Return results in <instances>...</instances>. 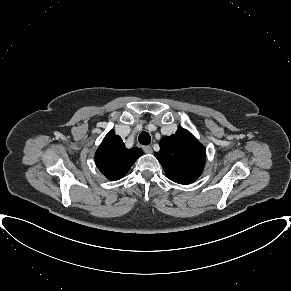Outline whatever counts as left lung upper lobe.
<instances>
[{
	"label": "left lung upper lobe",
	"instance_id": "left-lung-upper-lobe-1",
	"mask_svg": "<svg viewBox=\"0 0 291 291\" xmlns=\"http://www.w3.org/2000/svg\"><path fill=\"white\" fill-rule=\"evenodd\" d=\"M205 147L186 129L160 141V151L155 157L167 177L179 184H190L202 174L205 164Z\"/></svg>",
	"mask_w": 291,
	"mask_h": 291
}]
</instances>
